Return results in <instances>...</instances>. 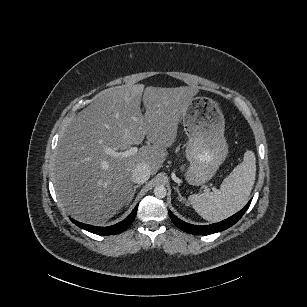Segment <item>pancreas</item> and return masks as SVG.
<instances>
[{
  "label": "pancreas",
  "instance_id": "pancreas-1",
  "mask_svg": "<svg viewBox=\"0 0 307 307\" xmlns=\"http://www.w3.org/2000/svg\"><path fill=\"white\" fill-rule=\"evenodd\" d=\"M184 169V167L183 166H181V170H183Z\"/></svg>",
  "mask_w": 307,
  "mask_h": 307
}]
</instances>
